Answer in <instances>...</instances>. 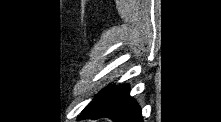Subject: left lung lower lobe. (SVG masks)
<instances>
[{"mask_svg": "<svg viewBox=\"0 0 221 122\" xmlns=\"http://www.w3.org/2000/svg\"><path fill=\"white\" fill-rule=\"evenodd\" d=\"M111 118L115 122H143L141 109L129 96V86H108L81 112L79 118Z\"/></svg>", "mask_w": 221, "mask_h": 122, "instance_id": "0a47b994", "label": "left lung lower lobe"}]
</instances>
